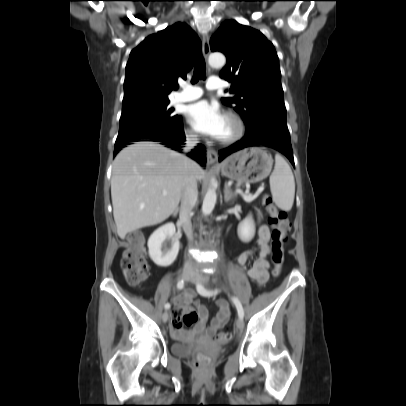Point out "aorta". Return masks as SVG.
<instances>
[{"label":"aorta","instance_id":"1","mask_svg":"<svg viewBox=\"0 0 406 406\" xmlns=\"http://www.w3.org/2000/svg\"><path fill=\"white\" fill-rule=\"evenodd\" d=\"M209 65L214 68H220L223 67L226 63V58L222 53H212L209 56L208 59ZM216 184L215 180H212V185L211 187L207 190L204 200H203V205H202V213L204 215L210 214L214 206L216 204V191L214 190L213 186Z\"/></svg>","mask_w":406,"mask_h":406}]
</instances>
